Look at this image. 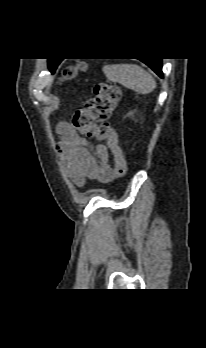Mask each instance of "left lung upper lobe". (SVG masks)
<instances>
[{
	"instance_id": "obj_1",
	"label": "left lung upper lobe",
	"mask_w": 206,
	"mask_h": 348,
	"mask_svg": "<svg viewBox=\"0 0 206 348\" xmlns=\"http://www.w3.org/2000/svg\"><path fill=\"white\" fill-rule=\"evenodd\" d=\"M59 63L60 61H57V60H52V59L48 60V67L52 73L55 71Z\"/></svg>"
}]
</instances>
